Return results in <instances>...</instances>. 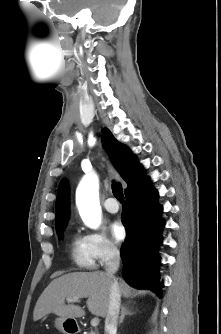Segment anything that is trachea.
<instances>
[{"label":"trachea","instance_id":"3493384b","mask_svg":"<svg viewBox=\"0 0 221 334\" xmlns=\"http://www.w3.org/2000/svg\"><path fill=\"white\" fill-rule=\"evenodd\" d=\"M112 191H113V195H114L115 198H117L121 202L124 200L122 186H121L120 183L114 182L112 184Z\"/></svg>","mask_w":221,"mask_h":334}]
</instances>
